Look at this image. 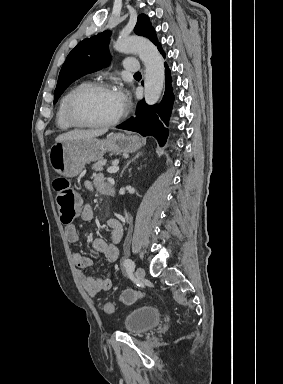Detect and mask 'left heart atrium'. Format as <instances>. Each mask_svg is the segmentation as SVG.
<instances>
[{"instance_id": "left-heart-atrium-1", "label": "left heart atrium", "mask_w": 283, "mask_h": 384, "mask_svg": "<svg viewBox=\"0 0 283 384\" xmlns=\"http://www.w3.org/2000/svg\"><path fill=\"white\" fill-rule=\"evenodd\" d=\"M114 98L120 109H123L127 104V95L123 90L115 89L113 90Z\"/></svg>"}]
</instances>
